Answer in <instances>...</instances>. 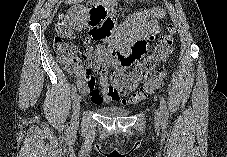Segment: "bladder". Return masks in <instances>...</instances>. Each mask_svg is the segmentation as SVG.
I'll use <instances>...</instances> for the list:
<instances>
[{
  "label": "bladder",
  "instance_id": "1",
  "mask_svg": "<svg viewBox=\"0 0 227 157\" xmlns=\"http://www.w3.org/2000/svg\"><path fill=\"white\" fill-rule=\"evenodd\" d=\"M98 112L105 117H124L128 116L131 111L129 109L118 106H105L98 109Z\"/></svg>",
  "mask_w": 227,
  "mask_h": 157
}]
</instances>
